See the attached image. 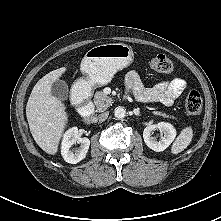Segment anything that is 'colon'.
I'll list each match as a JSON object with an SVG mask.
<instances>
[{
	"mask_svg": "<svg viewBox=\"0 0 221 221\" xmlns=\"http://www.w3.org/2000/svg\"><path fill=\"white\" fill-rule=\"evenodd\" d=\"M153 70L160 73H171L174 69L173 62L163 54L155 55L150 60ZM202 98L198 91H190L185 100V109L190 116L198 115L202 110Z\"/></svg>",
	"mask_w": 221,
	"mask_h": 221,
	"instance_id": "5ec220e1",
	"label": "colon"
}]
</instances>
